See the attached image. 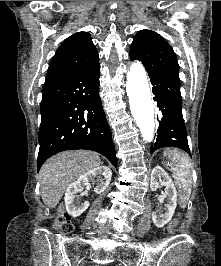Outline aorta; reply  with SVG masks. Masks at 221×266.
Segmentation results:
<instances>
[{
	"mask_svg": "<svg viewBox=\"0 0 221 266\" xmlns=\"http://www.w3.org/2000/svg\"><path fill=\"white\" fill-rule=\"evenodd\" d=\"M126 91L131 113L140 129L142 138L151 142L154 137V108L146 71L140 62L132 63L127 73Z\"/></svg>",
	"mask_w": 221,
	"mask_h": 266,
	"instance_id": "762f6f07",
	"label": "aorta"
}]
</instances>
